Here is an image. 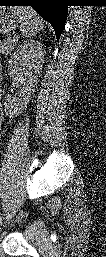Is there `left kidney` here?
Returning <instances> with one entry per match:
<instances>
[{"label":"left kidney","instance_id":"1","mask_svg":"<svg viewBox=\"0 0 106 257\" xmlns=\"http://www.w3.org/2000/svg\"><path fill=\"white\" fill-rule=\"evenodd\" d=\"M43 56L44 49L41 43L35 40L25 41L11 56L8 66L9 75L19 85L14 96H6L5 108L9 114H18L23 107V101L30 97L42 70ZM19 72L24 76H19Z\"/></svg>","mask_w":106,"mask_h":257}]
</instances>
